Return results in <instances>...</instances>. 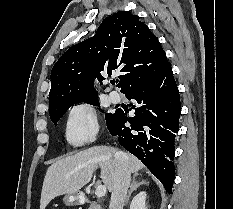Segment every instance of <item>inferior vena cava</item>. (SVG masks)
I'll return each mask as SVG.
<instances>
[{"mask_svg":"<svg viewBox=\"0 0 233 209\" xmlns=\"http://www.w3.org/2000/svg\"><path fill=\"white\" fill-rule=\"evenodd\" d=\"M117 170L109 209H123L127 191L131 181V171L122 152H116Z\"/></svg>","mask_w":233,"mask_h":209,"instance_id":"obj_1","label":"inferior vena cava"}]
</instances>
